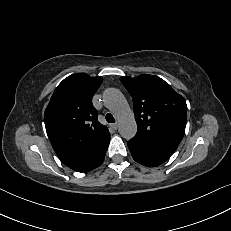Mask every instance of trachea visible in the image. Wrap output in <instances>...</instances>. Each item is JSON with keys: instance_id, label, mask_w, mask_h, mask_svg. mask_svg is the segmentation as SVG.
Here are the masks:
<instances>
[{"instance_id": "3493384b", "label": "trachea", "mask_w": 231, "mask_h": 231, "mask_svg": "<svg viewBox=\"0 0 231 231\" xmlns=\"http://www.w3.org/2000/svg\"><path fill=\"white\" fill-rule=\"evenodd\" d=\"M105 118L108 123H115V119L111 113H107Z\"/></svg>"}]
</instances>
